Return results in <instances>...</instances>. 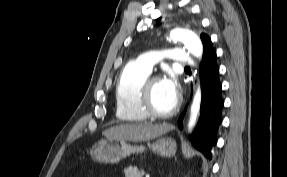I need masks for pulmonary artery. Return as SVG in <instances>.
<instances>
[{"label":"pulmonary artery","instance_id":"obj_1","mask_svg":"<svg viewBox=\"0 0 287 177\" xmlns=\"http://www.w3.org/2000/svg\"><path fill=\"white\" fill-rule=\"evenodd\" d=\"M171 60L175 65L189 67L194 65V59L185 49L169 47L161 50H150L133 60L134 63L150 72L153 66L161 59Z\"/></svg>","mask_w":287,"mask_h":177}]
</instances>
